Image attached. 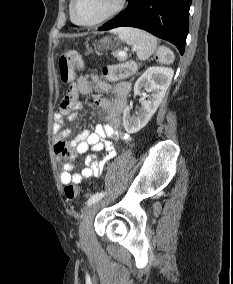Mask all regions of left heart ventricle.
Masks as SVG:
<instances>
[{"mask_svg":"<svg viewBox=\"0 0 233 284\" xmlns=\"http://www.w3.org/2000/svg\"><path fill=\"white\" fill-rule=\"evenodd\" d=\"M116 4V0H77L75 14L79 21L89 23L107 14Z\"/></svg>","mask_w":233,"mask_h":284,"instance_id":"1","label":"left heart ventricle"}]
</instances>
